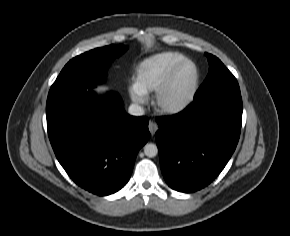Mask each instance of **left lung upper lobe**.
I'll return each instance as SVG.
<instances>
[{"label":"left lung upper lobe","mask_w":290,"mask_h":236,"mask_svg":"<svg viewBox=\"0 0 290 236\" xmlns=\"http://www.w3.org/2000/svg\"><path fill=\"white\" fill-rule=\"evenodd\" d=\"M206 56L209 62V73L195 96H199L222 86L237 82L233 74L217 57L211 54H206Z\"/></svg>","instance_id":"left-lung-upper-lobe-1"}]
</instances>
